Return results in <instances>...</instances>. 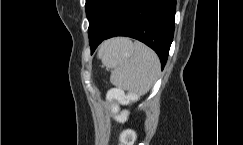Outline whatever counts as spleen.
I'll list each match as a JSON object with an SVG mask.
<instances>
[{
  "mask_svg": "<svg viewBox=\"0 0 243 145\" xmlns=\"http://www.w3.org/2000/svg\"><path fill=\"white\" fill-rule=\"evenodd\" d=\"M132 55L119 61L111 71L110 82L133 95L147 93L156 82L161 65L156 53L141 42L132 44ZM103 63L109 62L104 56Z\"/></svg>",
  "mask_w": 243,
  "mask_h": 145,
  "instance_id": "3e777b00",
  "label": "spleen"
}]
</instances>
